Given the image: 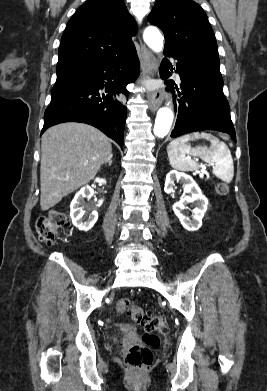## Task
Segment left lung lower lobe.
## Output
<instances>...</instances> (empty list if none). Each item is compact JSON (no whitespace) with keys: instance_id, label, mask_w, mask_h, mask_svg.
Here are the masks:
<instances>
[{"instance_id":"left-lung-lower-lobe-1","label":"left lung lower lobe","mask_w":267,"mask_h":391,"mask_svg":"<svg viewBox=\"0 0 267 391\" xmlns=\"http://www.w3.org/2000/svg\"><path fill=\"white\" fill-rule=\"evenodd\" d=\"M164 53L178 61L176 72L181 79L183 95L178 100V116L171 137L193 131L216 130L228 133L236 141L230 107L223 94V79L219 67L188 59L173 49L165 48ZM170 67V62L164 60L160 67L162 79L171 76ZM165 84L173 87L175 83L173 80H167Z\"/></svg>"}]
</instances>
